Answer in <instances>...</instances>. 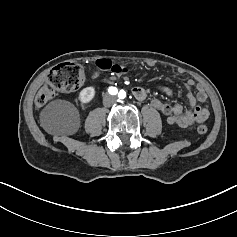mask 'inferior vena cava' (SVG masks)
Listing matches in <instances>:
<instances>
[{
  "label": "inferior vena cava",
  "instance_id": "1",
  "mask_svg": "<svg viewBox=\"0 0 237 237\" xmlns=\"http://www.w3.org/2000/svg\"><path fill=\"white\" fill-rule=\"evenodd\" d=\"M115 101H116L115 97L108 94V95H105L103 104L104 106L109 107V106H112Z\"/></svg>",
  "mask_w": 237,
  "mask_h": 237
}]
</instances>
